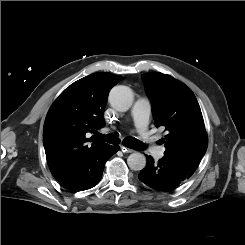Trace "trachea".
<instances>
[{
    "mask_svg": "<svg viewBox=\"0 0 245 245\" xmlns=\"http://www.w3.org/2000/svg\"><path fill=\"white\" fill-rule=\"evenodd\" d=\"M118 133H110L107 135H102L100 133H96V137L110 143V144H119L120 139L118 138ZM123 144L129 148L135 150H143L145 146L136 138L134 137H127L124 139Z\"/></svg>",
    "mask_w": 245,
    "mask_h": 245,
    "instance_id": "3493384b",
    "label": "trachea"
}]
</instances>
